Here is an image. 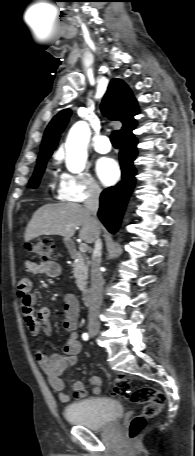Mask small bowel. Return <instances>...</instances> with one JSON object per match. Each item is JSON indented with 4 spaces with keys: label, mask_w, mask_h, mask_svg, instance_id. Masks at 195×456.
Masks as SVG:
<instances>
[{
    "label": "small bowel",
    "mask_w": 195,
    "mask_h": 456,
    "mask_svg": "<svg viewBox=\"0 0 195 456\" xmlns=\"http://www.w3.org/2000/svg\"><path fill=\"white\" fill-rule=\"evenodd\" d=\"M25 269L27 272L36 275H45L52 278L58 277L61 273L60 265L55 261H43L40 263L26 261ZM32 281L24 277L17 284V295L20 299L23 319L28 330L33 336L41 332L49 336L52 333L50 322V311L47 307H41L35 310V296L32 293ZM79 318V304L77 299L67 294L64 299V321L63 327L69 333V336L63 347V354H47L41 350L36 351V360L42 370L48 377L50 386L58 392L59 400L62 403H68L70 396L65 391V382L62 378L64 371L77 363V357L81 349L78 339L77 326ZM92 385L91 393L97 396L101 392V380L97 376L90 379ZM87 396L83 382L78 380L73 384V397L82 399Z\"/></svg>",
    "instance_id": "1"
}]
</instances>
